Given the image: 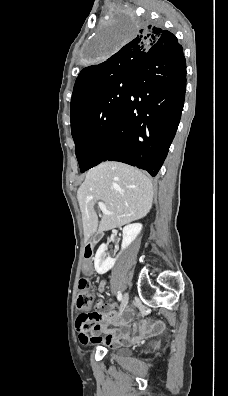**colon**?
<instances>
[{"label": "colon", "mask_w": 228, "mask_h": 396, "mask_svg": "<svg viewBox=\"0 0 228 396\" xmlns=\"http://www.w3.org/2000/svg\"><path fill=\"white\" fill-rule=\"evenodd\" d=\"M93 302L92 287L90 282L83 278L78 284L77 307L81 310L77 318V324L81 331L88 332L93 328V320L96 318V312L91 311Z\"/></svg>", "instance_id": "obj_1"}]
</instances>
